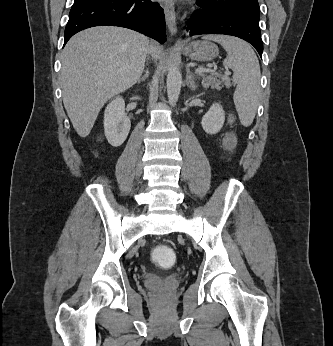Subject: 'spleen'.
Instances as JSON below:
<instances>
[{"label":"spleen","mask_w":333,"mask_h":346,"mask_svg":"<svg viewBox=\"0 0 333 346\" xmlns=\"http://www.w3.org/2000/svg\"><path fill=\"white\" fill-rule=\"evenodd\" d=\"M203 38L219 43L226 50L227 57L223 63L233 70V81L236 84L234 104L242 125H251L261 92L260 65L255 52L249 44L235 37L207 35Z\"/></svg>","instance_id":"obj_1"}]
</instances>
